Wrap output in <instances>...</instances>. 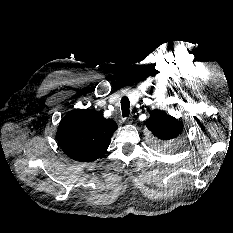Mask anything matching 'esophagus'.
Returning a JSON list of instances; mask_svg holds the SVG:
<instances>
[{
	"instance_id": "obj_1",
	"label": "esophagus",
	"mask_w": 233,
	"mask_h": 233,
	"mask_svg": "<svg viewBox=\"0 0 233 233\" xmlns=\"http://www.w3.org/2000/svg\"><path fill=\"white\" fill-rule=\"evenodd\" d=\"M123 121H124L125 123L130 124V123L133 122V118H132V116H129V117L125 118Z\"/></svg>"
}]
</instances>
